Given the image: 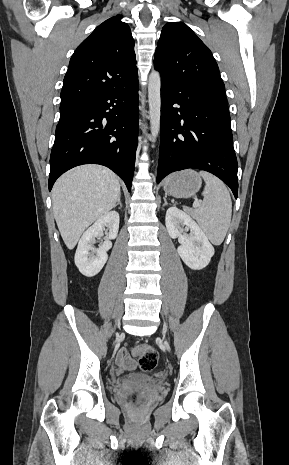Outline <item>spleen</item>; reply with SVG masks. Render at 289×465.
Here are the masks:
<instances>
[{
	"mask_svg": "<svg viewBox=\"0 0 289 465\" xmlns=\"http://www.w3.org/2000/svg\"><path fill=\"white\" fill-rule=\"evenodd\" d=\"M206 183L202 195V204L190 210L208 239L214 245H220L228 231L232 215V201L225 184L214 175L199 173Z\"/></svg>",
	"mask_w": 289,
	"mask_h": 465,
	"instance_id": "3e777b00",
	"label": "spleen"
}]
</instances>
